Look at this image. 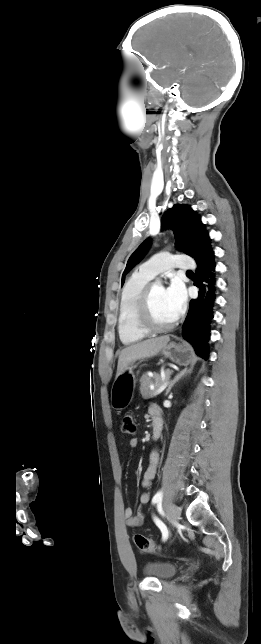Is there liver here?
Segmentation results:
<instances>
[{
  "label": "liver",
  "instance_id": "6515ba94",
  "mask_svg": "<svg viewBox=\"0 0 261 644\" xmlns=\"http://www.w3.org/2000/svg\"><path fill=\"white\" fill-rule=\"evenodd\" d=\"M169 341L170 337L166 335L132 344L122 349L118 359L116 377L121 375L136 360L150 358L158 354Z\"/></svg>",
  "mask_w": 261,
  "mask_h": 644
}]
</instances>
